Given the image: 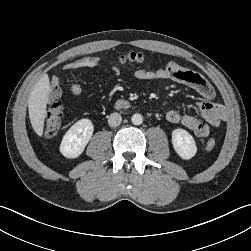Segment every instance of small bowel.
Segmentation results:
<instances>
[{"mask_svg": "<svg viewBox=\"0 0 251 251\" xmlns=\"http://www.w3.org/2000/svg\"><path fill=\"white\" fill-rule=\"evenodd\" d=\"M100 65L98 57H83L71 61L64 65L65 70H78L82 68H95ZM117 73L116 69H113ZM134 76L138 80H172L174 82L186 85L206 101L198 103V109L202 120L192 114H181L176 110H170L166 114V119L173 124H182L187 129L194 132L198 137H206L210 133L211 127H217L224 118V109L221 104L211 101L215 96L212 85L200 74L184 68L176 62H169L163 67L157 69H138ZM59 76L54 75L51 79L50 100L55 101L61 96L59 87ZM71 93L79 96L83 93V87L80 84L71 86Z\"/></svg>", "mask_w": 251, "mask_h": 251, "instance_id": "obj_1", "label": "small bowel"}]
</instances>
